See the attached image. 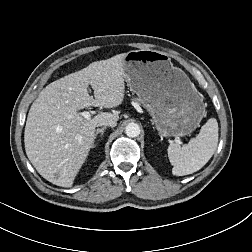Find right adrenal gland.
<instances>
[{"label":"right adrenal gland","mask_w":252,"mask_h":252,"mask_svg":"<svg viewBox=\"0 0 252 252\" xmlns=\"http://www.w3.org/2000/svg\"><path fill=\"white\" fill-rule=\"evenodd\" d=\"M105 129H106V127H102V128L97 129L96 132H95L94 139L97 138L98 134H100V137H102V136H103V133H104V131H105ZM96 144H97V143H96Z\"/></svg>","instance_id":"2a0ac1e0"}]
</instances>
